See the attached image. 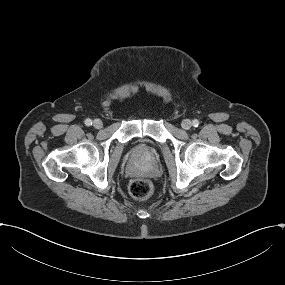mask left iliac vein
Segmentation results:
<instances>
[{
    "label": "left iliac vein",
    "mask_w": 285,
    "mask_h": 285,
    "mask_svg": "<svg viewBox=\"0 0 285 285\" xmlns=\"http://www.w3.org/2000/svg\"><path fill=\"white\" fill-rule=\"evenodd\" d=\"M182 127L185 129V130H189L191 127H192V122L191 120L189 119H185L182 121Z\"/></svg>",
    "instance_id": "4c4485c4"
}]
</instances>
